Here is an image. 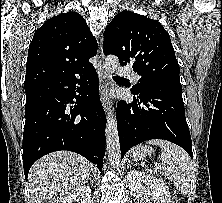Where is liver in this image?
<instances>
[{"instance_id":"1","label":"liver","mask_w":222,"mask_h":203,"mask_svg":"<svg viewBox=\"0 0 222 203\" xmlns=\"http://www.w3.org/2000/svg\"><path fill=\"white\" fill-rule=\"evenodd\" d=\"M91 175L90 163L83 156L58 151L37 160L28 175L33 203H61Z\"/></svg>"}]
</instances>
